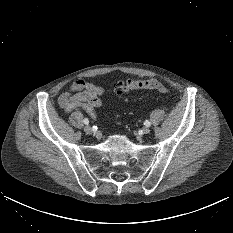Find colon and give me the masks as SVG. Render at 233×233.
<instances>
[{"instance_id": "obj_1", "label": "colon", "mask_w": 233, "mask_h": 233, "mask_svg": "<svg viewBox=\"0 0 233 233\" xmlns=\"http://www.w3.org/2000/svg\"><path fill=\"white\" fill-rule=\"evenodd\" d=\"M115 92L118 95L125 94L130 91L139 90V89H149L155 90L161 93H168V88L155 79L149 80H138V79H129L127 81L118 82L114 86Z\"/></svg>"}]
</instances>
